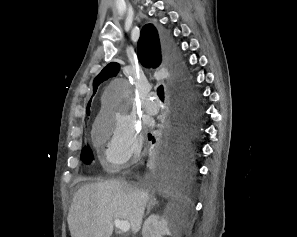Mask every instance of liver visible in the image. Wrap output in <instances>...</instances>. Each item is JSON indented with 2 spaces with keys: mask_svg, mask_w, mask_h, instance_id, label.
<instances>
[{
  "mask_svg": "<svg viewBox=\"0 0 297 237\" xmlns=\"http://www.w3.org/2000/svg\"><path fill=\"white\" fill-rule=\"evenodd\" d=\"M149 198L148 190L120 180L86 184L76 192L69 208L71 237H111L115 219L128 221L136 234Z\"/></svg>",
  "mask_w": 297,
  "mask_h": 237,
  "instance_id": "6515ba94",
  "label": "liver"
}]
</instances>
